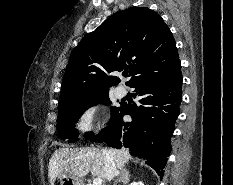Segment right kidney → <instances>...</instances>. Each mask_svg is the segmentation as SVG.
Returning a JSON list of instances; mask_svg holds the SVG:
<instances>
[{"label": "right kidney", "instance_id": "obj_1", "mask_svg": "<svg viewBox=\"0 0 233 185\" xmlns=\"http://www.w3.org/2000/svg\"><path fill=\"white\" fill-rule=\"evenodd\" d=\"M130 185H144L143 182L139 181V182H132Z\"/></svg>", "mask_w": 233, "mask_h": 185}]
</instances>
